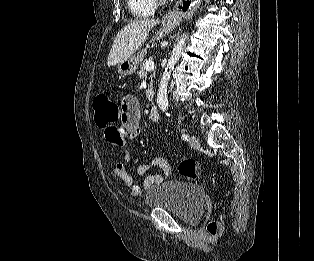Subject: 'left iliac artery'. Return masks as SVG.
<instances>
[{
	"mask_svg": "<svg viewBox=\"0 0 314 261\" xmlns=\"http://www.w3.org/2000/svg\"><path fill=\"white\" fill-rule=\"evenodd\" d=\"M182 139L186 141V140L189 139V136H188L187 134H183V135H182Z\"/></svg>",
	"mask_w": 314,
	"mask_h": 261,
	"instance_id": "obj_1",
	"label": "left iliac artery"
}]
</instances>
